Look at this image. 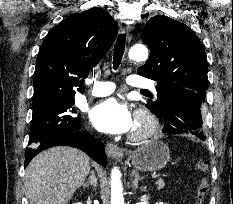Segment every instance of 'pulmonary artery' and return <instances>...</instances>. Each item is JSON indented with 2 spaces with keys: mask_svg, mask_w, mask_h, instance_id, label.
<instances>
[{
  "mask_svg": "<svg viewBox=\"0 0 233 204\" xmlns=\"http://www.w3.org/2000/svg\"><path fill=\"white\" fill-rule=\"evenodd\" d=\"M127 84L140 88V89H155L154 82L150 79H147L145 77H142L140 75H131L127 78ZM115 90V84L113 82H103V81H96L94 83V88L92 90V95L101 97V96H107L113 93Z\"/></svg>",
  "mask_w": 233,
  "mask_h": 204,
  "instance_id": "obj_1",
  "label": "pulmonary artery"
}]
</instances>
